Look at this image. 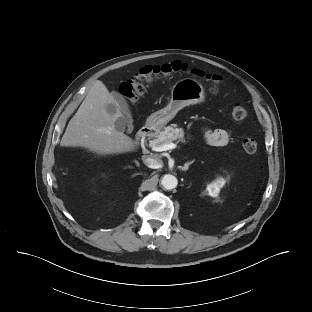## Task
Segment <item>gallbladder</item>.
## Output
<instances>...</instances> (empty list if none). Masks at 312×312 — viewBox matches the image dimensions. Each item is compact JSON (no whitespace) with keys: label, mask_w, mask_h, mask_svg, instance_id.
I'll use <instances>...</instances> for the list:
<instances>
[{"label":"gallbladder","mask_w":312,"mask_h":312,"mask_svg":"<svg viewBox=\"0 0 312 312\" xmlns=\"http://www.w3.org/2000/svg\"><path fill=\"white\" fill-rule=\"evenodd\" d=\"M115 100H116V105L114 104H108L107 105V111L109 114H116L117 110H119L121 113L125 115V117H119L116 121V128L120 131L125 130L126 124L128 126V131L131 132L133 130V125H132V116L131 112L129 109V105L120 93L115 92L113 94Z\"/></svg>","instance_id":"obj_1"}]
</instances>
